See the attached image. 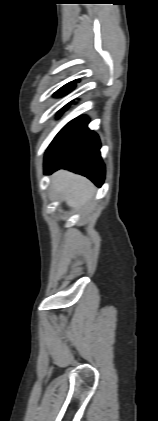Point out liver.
<instances>
[{"mask_svg":"<svg viewBox=\"0 0 158 421\" xmlns=\"http://www.w3.org/2000/svg\"><path fill=\"white\" fill-rule=\"evenodd\" d=\"M53 183L57 194L75 209L86 206L93 196V186L86 178L67 171L56 172Z\"/></svg>","mask_w":158,"mask_h":421,"instance_id":"liver-1","label":"liver"}]
</instances>
